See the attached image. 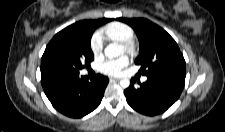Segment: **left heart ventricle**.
Returning <instances> with one entry per match:
<instances>
[{"label": "left heart ventricle", "instance_id": "b2bd125f", "mask_svg": "<svg viewBox=\"0 0 225 132\" xmlns=\"http://www.w3.org/2000/svg\"><path fill=\"white\" fill-rule=\"evenodd\" d=\"M120 51H121V53H124L125 52V50H124V48L122 46L120 48Z\"/></svg>", "mask_w": 225, "mask_h": 132}]
</instances>
